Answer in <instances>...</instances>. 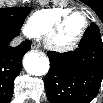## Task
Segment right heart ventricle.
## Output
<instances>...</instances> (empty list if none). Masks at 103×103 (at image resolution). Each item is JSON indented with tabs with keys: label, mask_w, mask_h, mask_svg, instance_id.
<instances>
[{
	"label": "right heart ventricle",
	"mask_w": 103,
	"mask_h": 103,
	"mask_svg": "<svg viewBox=\"0 0 103 103\" xmlns=\"http://www.w3.org/2000/svg\"><path fill=\"white\" fill-rule=\"evenodd\" d=\"M69 11L68 8L63 7L38 10L28 18L24 30L31 37L43 36L56 19Z\"/></svg>",
	"instance_id": "e07e8e85"
}]
</instances>
